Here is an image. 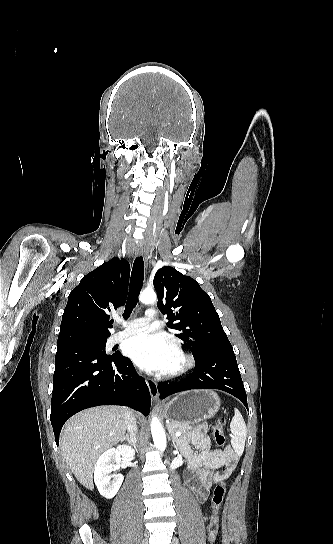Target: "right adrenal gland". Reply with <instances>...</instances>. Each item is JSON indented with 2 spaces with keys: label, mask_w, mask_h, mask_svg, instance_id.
Wrapping results in <instances>:
<instances>
[{
  "label": "right adrenal gland",
  "mask_w": 333,
  "mask_h": 544,
  "mask_svg": "<svg viewBox=\"0 0 333 544\" xmlns=\"http://www.w3.org/2000/svg\"><path fill=\"white\" fill-rule=\"evenodd\" d=\"M123 441H126L128 442L129 444L133 445L135 447V440H133L131 437H129L128 435H126L123 439Z\"/></svg>",
  "instance_id": "right-adrenal-gland-1"
}]
</instances>
